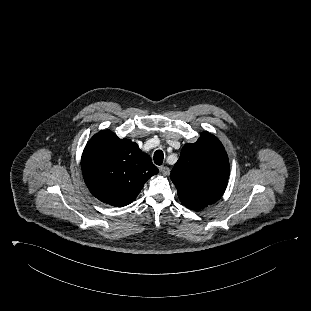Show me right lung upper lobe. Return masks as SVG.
Segmentation results:
<instances>
[{"label": "right lung upper lobe", "instance_id": "obj_1", "mask_svg": "<svg viewBox=\"0 0 311 311\" xmlns=\"http://www.w3.org/2000/svg\"><path fill=\"white\" fill-rule=\"evenodd\" d=\"M86 186L94 197L116 207L130 204L145 182L158 173L151 158L129 139H120L112 131L94 135L81 158Z\"/></svg>", "mask_w": 311, "mask_h": 311}]
</instances>
